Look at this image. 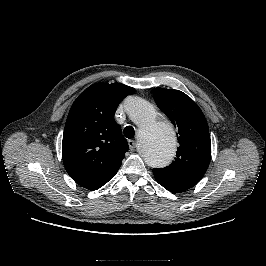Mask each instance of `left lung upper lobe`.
<instances>
[{
    "label": "left lung upper lobe",
    "instance_id": "5c2ea615",
    "mask_svg": "<svg viewBox=\"0 0 266 266\" xmlns=\"http://www.w3.org/2000/svg\"><path fill=\"white\" fill-rule=\"evenodd\" d=\"M154 100L178 129L176 158L169 166L153 169L156 181L177 191L196 185L211 160L208 124L198 105L178 90L155 88Z\"/></svg>",
    "mask_w": 266,
    "mask_h": 266
}]
</instances>
